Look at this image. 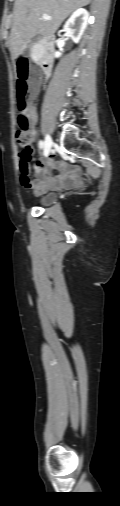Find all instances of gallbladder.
I'll return each instance as SVG.
<instances>
[{
    "label": "gallbladder",
    "mask_w": 120,
    "mask_h": 506,
    "mask_svg": "<svg viewBox=\"0 0 120 506\" xmlns=\"http://www.w3.org/2000/svg\"><path fill=\"white\" fill-rule=\"evenodd\" d=\"M37 40H38V38L36 37V38L33 40L32 44L36 43V42H37ZM30 52H31V51H30V49H28V50H26V51H25L24 55H25V56H29V55H30Z\"/></svg>",
    "instance_id": "bac80fb5"
}]
</instances>
